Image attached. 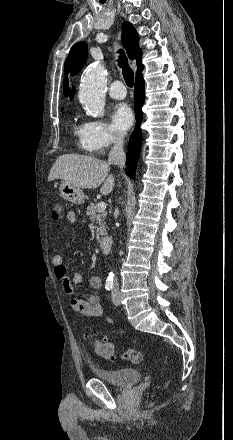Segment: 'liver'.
I'll list each match as a JSON object with an SVG mask.
<instances>
[{
  "instance_id": "1",
  "label": "liver",
  "mask_w": 233,
  "mask_h": 440,
  "mask_svg": "<svg viewBox=\"0 0 233 440\" xmlns=\"http://www.w3.org/2000/svg\"><path fill=\"white\" fill-rule=\"evenodd\" d=\"M110 163L92 156L65 154L57 158L48 180L63 179L80 189H94L102 184L101 194H109L114 187V177L108 176Z\"/></svg>"
}]
</instances>
